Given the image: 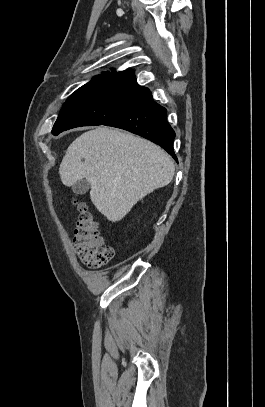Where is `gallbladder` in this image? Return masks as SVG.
I'll return each mask as SVG.
<instances>
[{
	"instance_id": "obj_1",
	"label": "gallbladder",
	"mask_w": 265,
	"mask_h": 407,
	"mask_svg": "<svg viewBox=\"0 0 265 407\" xmlns=\"http://www.w3.org/2000/svg\"><path fill=\"white\" fill-rule=\"evenodd\" d=\"M89 187L90 184L85 179H82L72 186V191L76 195H84L89 190Z\"/></svg>"
}]
</instances>
